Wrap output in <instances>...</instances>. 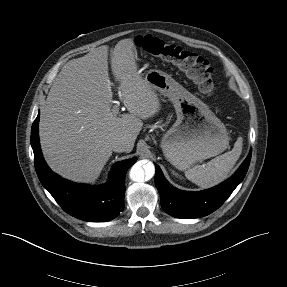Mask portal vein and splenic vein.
<instances>
[{"label": "portal vein and splenic vein", "instance_id": "obj_1", "mask_svg": "<svg viewBox=\"0 0 287 287\" xmlns=\"http://www.w3.org/2000/svg\"><path fill=\"white\" fill-rule=\"evenodd\" d=\"M121 96V95H120ZM118 104L117 105H115L114 107H113V112L115 113V114H118V112H119V108H118Z\"/></svg>", "mask_w": 287, "mask_h": 287}]
</instances>
